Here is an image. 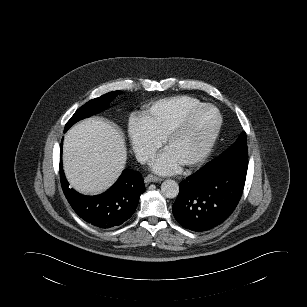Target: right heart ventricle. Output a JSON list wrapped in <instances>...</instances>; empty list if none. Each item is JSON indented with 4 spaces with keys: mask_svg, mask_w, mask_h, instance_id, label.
I'll return each mask as SVG.
<instances>
[{
    "mask_svg": "<svg viewBox=\"0 0 307 307\" xmlns=\"http://www.w3.org/2000/svg\"><path fill=\"white\" fill-rule=\"evenodd\" d=\"M201 103L189 95L163 98L150 104L142 116L149 131L160 141L190 107Z\"/></svg>",
    "mask_w": 307,
    "mask_h": 307,
    "instance_id": "e07e8e85",
    "label": "right heart ventricle"
}]
</instances>
